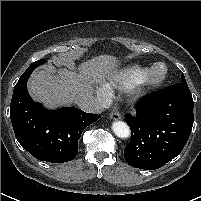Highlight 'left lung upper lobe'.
I'll return each mask as SVG.
<instances>
[{"label": "left lung upper lobe", "mask_w": 201, "mask_h": 201, "mask_svg": "<svg viewBox=\"0 0 201 201\" xmlns=\"http://www.w3.org/2000/svg\"><path fill=\"white\" fill-rule=\"evenodd\" d=\"M180 83H182V84H187V83H186V80H185V77H184L183 74L181 75V81H180Z\"/></svg>", "instance_id": "5c2ea615"}]
</instances>
